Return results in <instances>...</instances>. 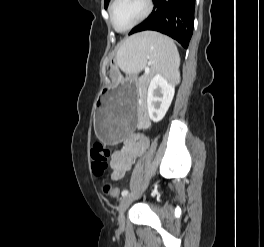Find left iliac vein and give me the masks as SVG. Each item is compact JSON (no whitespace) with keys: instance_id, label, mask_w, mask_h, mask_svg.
<instances>
[{"instance_id":"obj_1","label":"left iliac vein","mask_w":264,"mask_h":247,"mask_svg":"<svg viewBox=\"0 0 264 247\" xmlns=\"http://www.w3.org/2000/svg\"><path fill=\"white\" fill-rule=\"evenodd\" d=\"M146 188V185H144L142 188H140L138 191L125 195L124 197L121 198L120 204L118 207V222L120 226L124 225V213L127 209V207L130 205V203L136 199Z\"/></svg>"}]
</instances>
